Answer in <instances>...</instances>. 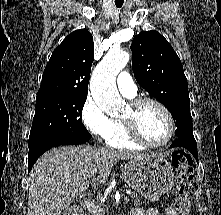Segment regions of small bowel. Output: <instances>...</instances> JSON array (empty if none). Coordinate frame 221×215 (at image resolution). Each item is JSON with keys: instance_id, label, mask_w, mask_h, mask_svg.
I'll list each match as a JSON object with an SVG mask.
<instances>
[{"instance_id": "obj_1", "label": "small bowel", "mask_w": 221, "mask_h": 215, "mask_svg": "<svg viewBox=\"0 0 221 215\" xmlns=\"http://www.w3.org/2000/svg\"><path fill=\"white\" fill-rule=\"evenodd\" d=\"M132 215H179L178 212L174 208H167L163 212H159L157 209H148V210H143V209H135L132 212Z\"/></svg>"}]
</instances>
